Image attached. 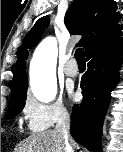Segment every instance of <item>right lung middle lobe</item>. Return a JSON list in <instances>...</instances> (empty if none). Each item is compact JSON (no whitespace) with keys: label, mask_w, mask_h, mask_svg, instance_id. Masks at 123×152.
Wrapping results in <instances>:
<instances>
[{"label":"right lung middle lobe","mask_w":123,"mask_h":152,"mask_svg":"<svg viewBox=\"0 0 123 152\" xmlns=\"http://www.w3.org/2000/svg\"><path fill=\"white\" fill-rule=\"evenodd\" d=\"M26 88L24 87L12 93L7 118H12L22 111L26 100Z\"/></svg>","instance_id":"dd1d6c3e"}]
</instances>
